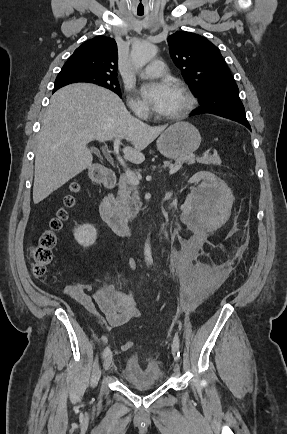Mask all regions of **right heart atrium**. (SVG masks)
Segmentation results:
<instances>
[{"label": "right heart atrium", "mask_w": 287, "mask_h": 434, "mask_svg": "<svg viewBox=\"0 0 287 434\" xmlns=\"http://www.w3.org/2000/svg\"><path fill=\"white\" fill-rule=\"evenodd\" d=\"M129 105L136 114H147L149 112L148 105L139 98L130 97Z\"/></svg>", "instance_id": "d8ad5b80"}]
</instances>
